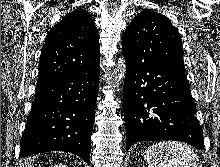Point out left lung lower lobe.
<instances>
[{
	"mask_svg": "<svg viewBox=\"0 0 220 167\" xmlns=\"http://www.w3.org/2000/svg\"><path fill=\"white\" fill-rule=\"evenodd\" d=\"M124 57L127 148L139 141L176 140L203 150L202 129L185 73Z\"/></svg>",
	"mask_w": 220,
	"mask_h": 167,
	"instance_id": "0a47b994",
	"label": "left lung lower lobe"
}]
</instances>
